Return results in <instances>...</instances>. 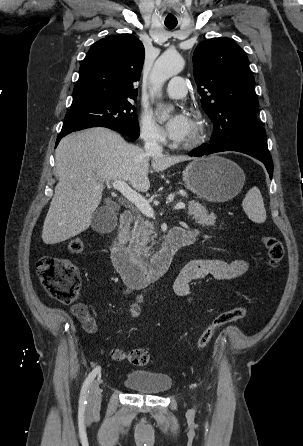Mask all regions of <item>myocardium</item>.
Wrapping results in <instances>:
<instances>
[{
	"instance_id": "obj_1",
	"label": "myocardium",
	"mask_w": 303,
	"mask_h": 446,
	"mask_svg": "<svg viewBox=\"0 0 303 446\" xmlns=\"http://www.w3.org/2000/svg\"><path fill=\"white\" fill-rule=\"evenodd\" d=\"M191 114L195 120L196 128L191 139L179 144V146L183 149H193L198 147L204 141L206 134V122L202 113L198 110H192Z\"/></svg>"
}]
</instances>
